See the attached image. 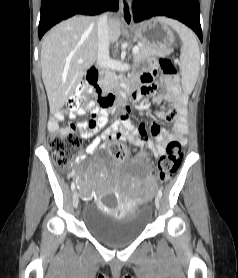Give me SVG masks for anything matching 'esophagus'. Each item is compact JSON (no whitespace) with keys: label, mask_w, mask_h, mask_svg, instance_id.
<instances>
[{"label":"esophagus","mask_w":238,"mask_h":278,"mask_svg":"<svg viewBox=\"0 0 238 278\" xmlns=\"http://www.w3.org/2000/svg\"><path fill=\"white\" fill-rule=\"evenodd\" d=\"M122 20L127 24L133 23V14L130 0H119Z\"/></svg>","instance_id":"obj_1"}]
</instances>
